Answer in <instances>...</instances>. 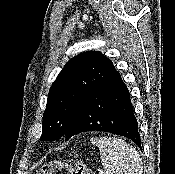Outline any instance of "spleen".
<instances>
[{
  "label": "spleen",
  "mask_w": 175,
  "mask_h": 174,
  "mask_svg": "<svg viewBox=\"0 0 175 174\" xmlns=\"http://www.w3.org/2000/svg\"><path fill=\"white\" fill-rule=\"evenodd\" d=\"M91 143L99 147L105 174H142V159L130 144L121 138H91Z\"/></svg>",
  "instance_id": "1"
}]
</instances>
